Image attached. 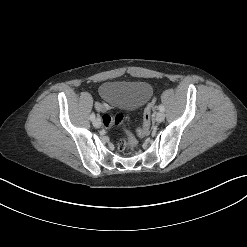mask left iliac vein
Masks as SVG:
<instances>
[{"label": "left iliac vein", "instance_id": "left-iliac-vein-1", "mask_svg": "<svg viewBox=\"0 0 247 247\" xmlns=\"http://www.w3.org/2000/svg\"><path fill=\"white\" fill-rule=\"evenodd\" d=\"M165 118V114L164 112L162 111H159L157 114H156V121L157 122H162Z\"/></svg>", "mask_w": 247, "mask_h": 247}]
</instances>
